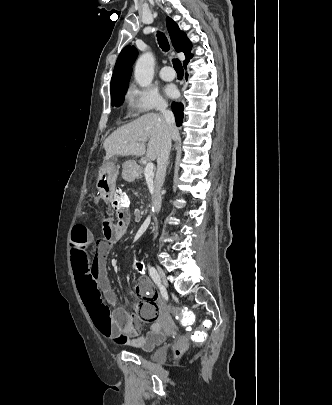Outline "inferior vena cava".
Segmentation results:
<instances>
[{
    "mask_svg": "<svg viewBox=\"0 0 332 405\" xmlns=\"http://www.w3.org/2000/svg\"><path fill=\"white\" fill-rule=\"evenodd\" d=\"M157 109L161 112L164 118L166 131L164 133L160 153L157 158V172L154 182V195L152 202L156 213H158L161 208V188L165 180L166 168L171 150V134L175 130L174 114L172 111L167 109V103L160 102Z\"/></svg>",
    "mask_w": 332,
    "mask_h": 405,
    "instance_id": "obj_1",
    "label": "inferior vena cava"
}]
</instances>
